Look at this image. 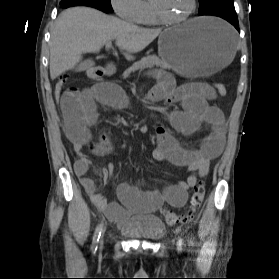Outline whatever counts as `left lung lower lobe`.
<instances>
[{"label": "left lung lower lobe", "mask_w": 279, "mask_h": 279, "mask_svg": "<svg viewBox=\"0 0 279 279\" xmlns=\"http://www.w3.org/2000/svg\"><path fill=\"white\" fill-rule=\"evenodd\" d=\"M201 15H212V16H218L225 20H227L229 23H231L239 32V24H238V18L237 14L234 8V5H222L214 7L204 13H200Z\"/></svg>", "instance_id": "1"}]
</instances>
